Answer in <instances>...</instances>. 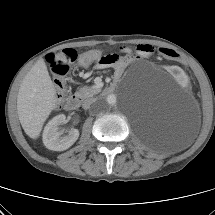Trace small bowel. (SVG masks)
I'll use <instances>...</instances> for the list:
<instances>
[{
  "instance_id": "1",
  "label": "small bowel",
  "mask_w": 215,
  "mask_h": 215,
  "mask_svg": "<svg viewBox=\"0 0 215 215\" xmlns=\"http://www.w3.org/2000/svg\"><path fill=\"white\" fill-rule=\"evenodd\" d=\"M122 49L126 53L125 56L120 57L116 54L104 56L98 61L96 65L97 68L113 67L116 75H120L128 64L136 58L131 55V50L129 48L123 47ZM135 52L137 58H148L154 56L155 48L148 44H141L137 46Z\"/></svg>"
}]
</instances>
